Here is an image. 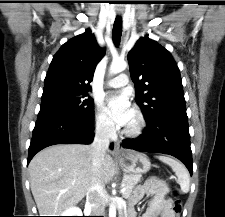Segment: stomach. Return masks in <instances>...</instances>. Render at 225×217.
I'll return each mask as SVG.
<instances>
[{
  "instance_id": "obj_1",
  "label": "stomach",
  "mask_w": 225,
  "mask_h": 217,
  "mask_svg": "<svg viewBox=\"0 0 225 217\" xmlns=\"http://www.w3.org/2000/svg\"><path fill=\"white\" fill-rule=\"evenodd\" d=\"M119 165L121 169L128 174H137L146 173L151 166V163L146 155L134 152L127 151L118 158Z\"/></svg>"
}]
</instances>
